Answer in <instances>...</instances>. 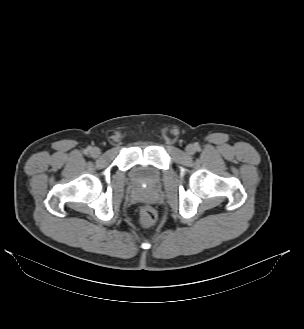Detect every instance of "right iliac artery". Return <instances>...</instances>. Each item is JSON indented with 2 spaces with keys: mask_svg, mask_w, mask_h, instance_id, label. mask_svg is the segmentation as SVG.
<instances>
[{
  "mask_svg": "<svg viewBox=\"0 0 304 329\" xmlns=\"http://www.w3.org/2000/svg\"><path fill=\"white\" fill-rule=\"evenodd\" d=\"M91 150L90 147H88L87 149L84 150L85 153H88Z\"/></svg>",
  "mask_w": 304,
  "mask_h": 329,
  "instance_id": "1",
  "label": "right iliac artery"
}]
</instances>
